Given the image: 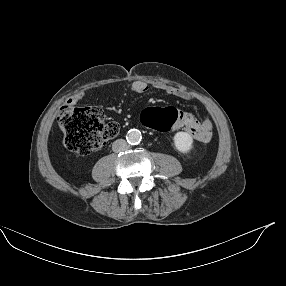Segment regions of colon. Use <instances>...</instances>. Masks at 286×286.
<instances>
[{
  "instance_id": "obj_1",
  "label": "colon",
  "mask_w": 286,
  "mask_h": 286,
  "mask_svg": "<svg viewBox=\"0 0 286 286\" xmlns=\"http://www.w3.org/2000/svg\"><path fill=\"white\" fill-rule=\"evenodd\" d=\"M175 109L151 108L139 119V124L160 131L168 130L177 120ZM57 123L63 132V145L78 155H87L100 149L106 141L119 134L120 126L113 121H106L97 107L81 108L65 105L59 111Z\"/></svg>"
}]
</instances>
